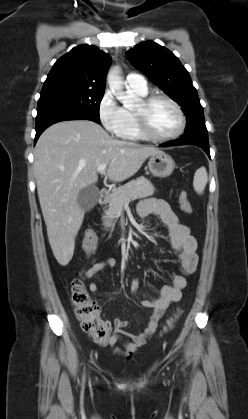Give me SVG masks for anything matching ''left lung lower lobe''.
<instances>
[{
    "instance_id": "obj_1",
    "label": "left lung lower lobe",
    "mask_w": 248,
    "mask_h": 419,
    "mask_svg": "<svg viewBox=\"0 0 248 419\" xmlns=\"http://www.w3.org/2000/svg\"><path fill=\"white\" fill-rule=\"evenodd\" d=\"M178 145H196L202 148L206 152V154L210 157L208 131L206 127L196 128L189 132H185L181 138L164 143L160 146L168 147V146H178Z\"/></svg>"
}]
</instances>
